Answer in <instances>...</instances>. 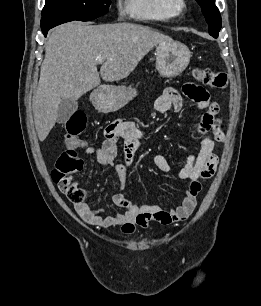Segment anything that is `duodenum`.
I'll return each mask as SVG.
<instances>
[{"label": "duodenum", "mask_w": 261, "mask_h": 306, "mask_svg": "<svg viewBox=\"0 0 261 306\" xmlns=\"http://www.w3.org/2000/svg\"><path fill=\"white\" fill-rule=\"evenodd\" d=\"M103 94H104V92H103V91H101V92H100V95H103Z\"/></svg>", "instance_id": "410a0bca"}]
</instances>
